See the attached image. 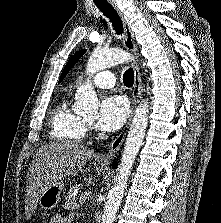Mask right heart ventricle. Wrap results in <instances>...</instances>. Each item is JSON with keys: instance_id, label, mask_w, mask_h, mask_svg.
Returning a JSON list of instances; mask_svg holds the SVG:
<instances>
[{"instance_id": "obj_1", "label": "right heart ventricle", "mask_w": 221, "mask_h": 223, "mask_svg": "<svg viewBox=\"0 0 221 223\" xmlns=\"http://www.w3.org/2000/svg\"><path fill=\"white\" fill-rule=\"evenodd\" d=\"M86 134V124L69 106V100L63 98L50 115V137L55 141L68 143L80 142Z\"/></svg>"}]
</instances>
